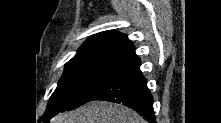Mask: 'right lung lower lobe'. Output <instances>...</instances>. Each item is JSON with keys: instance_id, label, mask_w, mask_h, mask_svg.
<instances>
[{"instance_id": "right-lung-lower-lobe-1", "label": "right lung lower lobe", "mask_w": 221, "mask_h": 123, "mask_svg": "<svg viewBox=\"0 0 221 123\" xmlns=\"http://www.w3.org/2000/svg\"><path fill=\"white\" fill-rule=\"evenodd\" d=\"M139 57L131 58L127 63L104 79L91 93L88 101L106 100L121 103L132 108L150 123L155 122L153 98L147 82L140 71ZM57 113H45L47 121Z\"/></svg>"}]
</instances>
